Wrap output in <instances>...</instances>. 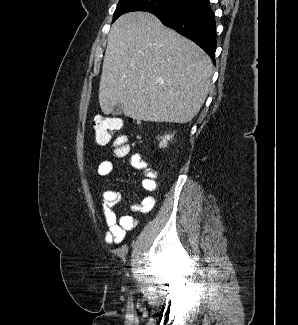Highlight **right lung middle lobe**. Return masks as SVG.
I'll return each mask as SVG.
<instances>
[{"label":"right lung middle lobe","instance_id":"dd1d6c3e","mask_svg":"<svg viewBox=\"0 0 298 325\" xmlns=\"http://www.w3.org/2000/svg\"><path fill=\"white\" fill-rule=\"evenodd\" d=\"M193 0H120L113 15L114 22L119 16L132 11H146L153 14L171 12L182 8Z\"/></svg>","mask_w":298,"mask_h":325}]
</instances>
